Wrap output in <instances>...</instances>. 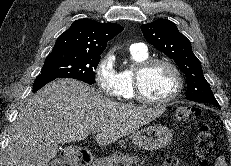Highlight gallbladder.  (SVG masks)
<instances>
[{"instance_id":"gallbladder-1","label":"gallbladder","mask_w":231,"mask_h":166,"mask_svg":"<svg viewBox=\"0 0 231 166\" xmlns=\"http://www.w3.org/2000/svg\"><path fill=\"white\" fill-rule=\"evenodd\" d=\"M59 162V160H55L54 162H52L51 166H54V163Z\"/></svg>"}]
</instances>
